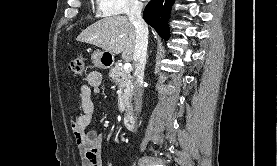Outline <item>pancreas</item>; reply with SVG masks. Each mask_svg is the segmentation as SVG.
Returning <instances> with one entry per match:
<instances>
[{"instance_id":"obj_1","label":"pancreas","mask_w":277,"mask_h":166,"mask_svg":"<svg viewBox=\"0 0 277 166\" xmlns=\"http://www.w3.org/2000/svg\"><path fill=\"white\" fill-rule=\"evenodd\" d=\"M112 82L119 86L123 92L121 95L122 106L121 111L126 113L131 110V100L133 94V79L130 70H125L123 66L115 65L109 72Z\"/></svg>"}]
</instances>
